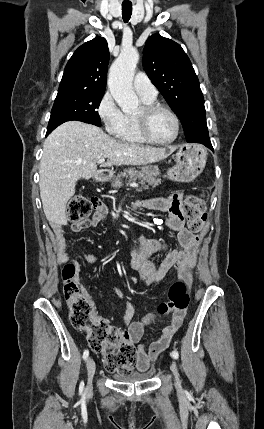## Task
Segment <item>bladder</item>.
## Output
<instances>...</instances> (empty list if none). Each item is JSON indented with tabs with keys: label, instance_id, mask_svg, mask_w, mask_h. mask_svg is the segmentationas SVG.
<instances>
[{
	"label": "bladder",
	"instance_id": "31cf9c89",
	"mask_svg": "<svg viewBox=\"0 0 264 429\" xmlns=\"http://www.w3.org/2000/svg\"><path fill=\"white\" fill-rule=\"evenodd\" d=\"M154 369H149L145 372L141 373H132L128 375L117 374L114 378L120 382H138V381H146L153 377Z\"/></svg>",
	"mask_w": 264,
	"mask_h": 429
}]
</instances>
